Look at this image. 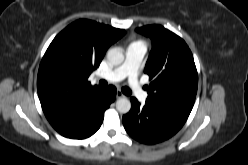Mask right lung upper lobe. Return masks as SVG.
<instances>
[{
	"label": "right lung upper lobe",
	"mask_w": 248,
	"mask_h": 165,
	"mask_svg": "<svg viewBox=\"0 0 248 165\" xmlns=\"http://www.w3.org/2000/svg\"><path fill=\"white\" fill-rule=\"evenodd\" d=\"M124 34L123 29L80 19L54 38L37 77L39 99L48 120L77 110L101 92L87 79L109 46Z\"/></svg>",
	"instance_id": "1"
}]
</instances>
